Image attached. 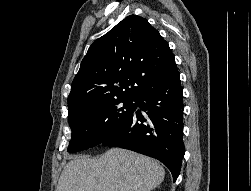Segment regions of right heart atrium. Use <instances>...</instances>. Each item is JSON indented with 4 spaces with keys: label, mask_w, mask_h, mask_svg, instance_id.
<instances>
[{
    "label": "right heart atrium",
    "mask_w": 251,
    "mask_h": 191,
    "mask_svg": "<svg viewBox=\"0 0 251 191\" xmlns=\"http://www.w3.org/2000/svg\"><path fill=\"white\" fill-rule=\"evenodd\" d=\"M105 124V119L101 115H95L92 118V126L94 130L100 131Z\"/></svg>",
    "instance_id": "right-heart-atrium-1"
}]
</instances>
